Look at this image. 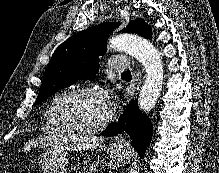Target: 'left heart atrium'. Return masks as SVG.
I'll use <instances>...</instances> for the list:
<instances>
[{
    "instance_id": "39dd6f15",
    "label": "left heart atrium",
    "mask_w": 219,
    "mask_h": 173,
    "mask_svg": "<svg viewBox=\"0 0 219 173\" xmlns=\"http://www.w3.org/2000/svg\"><path fill=\"white\" fill-rule=\"evenodd\" d=\"M101 96L103 98L105 106L110 110L113 107L114 102H115L114 95L111 92L106 91L102 93Z\"/></svg>"
}]
</instances>
